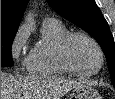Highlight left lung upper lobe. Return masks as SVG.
I'll use <instances>...</instances> for the list:
<instances>
[{
    "label": "left lung upper lobe",
    "mask_w": 115,
    "mask_h": 99,
    "mask_svg": "<svg viewBox=\"0 0 115 99\" xmlns=\"http://www.w3.org/2000/svg\"><path fill=\"white\" fill-rule=\"evenodd\" d=\"M55 12L79 26L100 44L115 86V45L107 21L94 0H47Z\"/></svg>",
    "instance_id": "1"
}]
</instances>
